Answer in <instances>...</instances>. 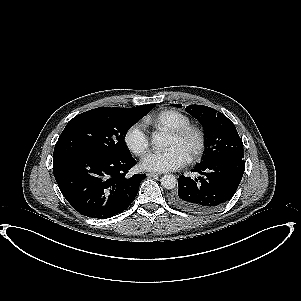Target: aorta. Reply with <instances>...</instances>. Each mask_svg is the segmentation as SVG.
<instances>
[{"label": "aorta", "mask_w": 301, "mask_h": 301, "mask_svg": "<svg viewBox=\"0 0 301 301\" xmlns=\"http://www.w3.org/2000/svg\"><path fill=\"white\" fill-rule=\"evenodd\" d=\"M152 144L158 147L166 146V136L162 132H156L152 135ZM161 185L163 188L172 190L177 187V179L172 174H165L160 179Z\"/></svg>", "instance_id": "1"}]
</instances>
